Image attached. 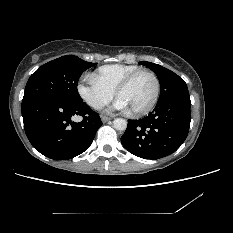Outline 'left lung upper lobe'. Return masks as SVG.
I'll return each instance as SVG.
<instances>
[{"label": "left lung upper lobe", "instance_id": "left-lung-upper-lobe-1", "mask_svg": "<svg viewBox=\"0 0 233 233\" xmlns=\"http://www.w3.org/2000/svg\"><path fill=\"white\" fill-rule=\"evenodd\" d=\"M140 64L153 70L159 78L161 92L157 104H161L181 95L189 94L186 83L171 70L151 62H140Z\"/></svg>", "mask_w": 233, "mask_h": 233}]
</instances>
